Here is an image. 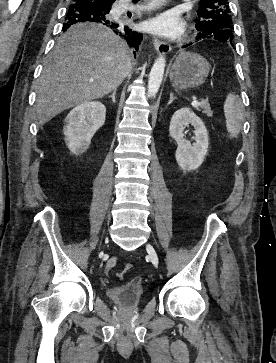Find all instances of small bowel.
Here are the masks:
<instances>
[{
    "label": "small bowel",
    "mask_w": 276,
    "mask_h": 363,
    "mask_svg": "<svg viewBox=\"0 0 276 363\" xmlns=\"http://www.w3.org/2000/svg\"><path fill=\"white\" fill-rule=\"evenodd\" d=\"M118 262V258L117 257H111L108 259L107 263H106V266H105V269L106 271H110L114 266L115 264Z\"/></svg>",
    "instance_id": "c3829d8e"
}]
</instances>
